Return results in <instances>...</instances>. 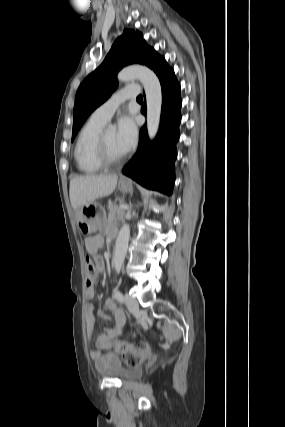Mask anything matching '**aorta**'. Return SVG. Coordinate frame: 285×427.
<instances>
[{
	"mask_svg": "<svg viewBox=\"0 0 285 427\" xmlns=\"http://www.w3.org/2000/svg\"><path fill=\"white\" fill-rule=\"evenodd\" d=\"M117 78L119 82L139 79L142 83L146 95L148 136L153 140L158 132L162 107V91L158 77L148 67L132 65L122 69L118 73ZM108 128L115 130L113 125H109ZM129 238L130 226L123 224L114 248L113 266L116 270H120L124 263Z\"/></svg>",
	"mask_w": 285,
	"mask_h": 427,
	"instance_id": "1",
	"label": "aorta"
}]
</instances>
